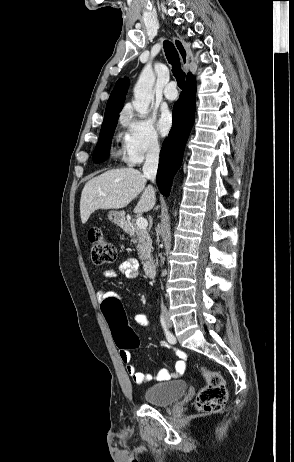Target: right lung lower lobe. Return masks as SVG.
<instances>
[{
    "label": "right lung lower lobe",
    "mask_w": 294,
    "mask_h": 462,
    "mask_svg": "<svg viewBox=\"0 0 294 462\" xmlns=\"http://www.w3.org/2000/svg\"><path fill=\"white\" fill-rule=\"evenodd\" d=\"M195 92L193 76L187 77L186 89L174 105L173 125L160 153L157 185L165 196L169 195L173 177L181 166L185 144L194 123Z\"/></svg>",
    "instance_id": "98d812e1"
}]
</instances>
